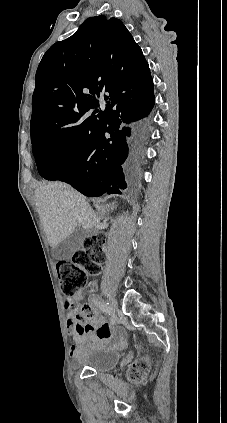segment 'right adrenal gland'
Instances as JSON below:
<instances>
[{"label":"right adrenal gland","instance_id":"2a0ac1e0","mask_svg":"<svg viewBox=\"0 0 227 423\" xmlns=\"http://www.w3.org/2000/svg\"><path fill=\"white\" fill-rule=\"evenodd\" d=\"M97 210L101 213V215L111 213V211L116 210L115 202H113V204H105V206H97Z\"/></svg>","mask_w":227,"mask_h":423}]
</instances>
